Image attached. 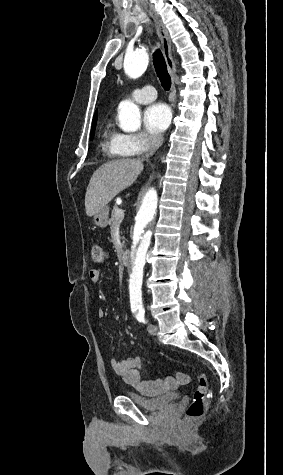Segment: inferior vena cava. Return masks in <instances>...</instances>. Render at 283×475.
Segmentation results:
<instances>
[{"label":"inferior vena cava","instance_id":"602c4592","mask_svg":"<svg viewBox=\"0 0 283 475\" xmlns=\"http://www.w3.org/2000/svg\"><path fill=\"white\" fill-rule=\"evenodd\" d=\"M163 144V136L159 132H149L148 134V152L145 154V158H150L155 154L156 150Z\"/></svg>","mask_w":283,"mask_h":475}]
</instances>
